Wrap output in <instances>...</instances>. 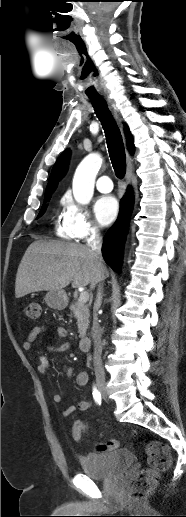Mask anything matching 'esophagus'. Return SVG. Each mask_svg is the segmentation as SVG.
Here are the masks:
<instances>
[{"label": "esophagus", "instance_id": "1", "mask_svg": "<svg viewBox=\"0 0 186 517\" xmlns=\"http://www.w3.org/2000/svg\"><path fill=\"white\" fill-rule=\"evenodd\" d=\"M107 101L110 103L111 105V108L113 109L114 111V114L116 116H118V113H117V109L116 107L113 105V103L111 102L110 98H107ZM131 174H132V158L131 156L128 154L127 155V172H126V176H125V183L126 185H128L130 183V180H131Z\"/></svg>", "mask_w": 186, "mask_h": 517}]
</instances>
